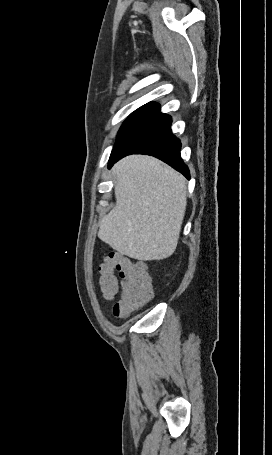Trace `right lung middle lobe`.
I'll list each match as a JSON object with an SVG mask.
<instances>
[{"label":"right lung middle lobe","instance_id":"1","mask_svg":"<svg viewBox=\"0 0 272 455\" xmlns=\"http://www.w3.org/2000/svg\"><path fill=\"white\" fill-rule=\"evenodd\" d=\"M160 111V104L156 102L147 103L134 111L123 123L119 130L117 143L131 130L141 125ZM116 143V144H117Z\"/></svg>","mask_w":272,"mask_h":455}]
</instances>
